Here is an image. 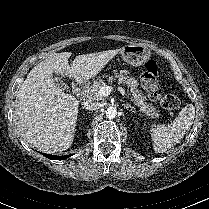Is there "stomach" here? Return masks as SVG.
Masks as SVG:
<instances>
[{
	"mask_svg": "<svg viewBox=\"0 0 209 209\" xmlns=\"http://www.w3.org/2000/svg\"><path fill=\"white\" fill-rule=\"evenodd\" d=\"M120 54L125 62L134 67H139L148 62L151 52L141 44H130L122 47Z\"/></svg>",
	"mask_w": 209,
	"mask_h": 209,
	"instance_id": "1",
	"label": "stomach"
}]
</instances>
